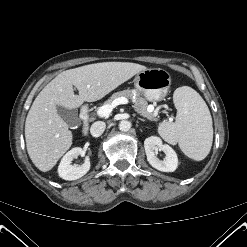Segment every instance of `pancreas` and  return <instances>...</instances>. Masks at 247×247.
Segmentation results:
<instances>
[{"instance_id":"cf45deb5","label":"pancreas","mask_w":247,"mask_h":247,"mask_svg":"<svg viewBox=\"0 0 247 247\" xmlns=\"http://www.w3.org/2000/svg\"><path fill=\"white\" fill-rule=\"evenodd\" d=\"M119 97H128L132 99V102L134 103L133 107L136 112H138L139 114L145 117H149V118L153 117V114L147 111V107H148L147 101L144 98L140 97L139 93H137L136 90H123L120 92H116L104 104L110 105L115 99Z\"/></svg>"}]
</instances>
